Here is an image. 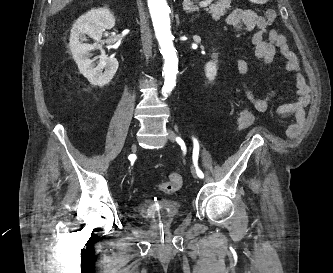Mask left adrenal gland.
I'll return each mask as SVG.
<instances>
[{"label": "left adrenal gland", "instance_id": "a2214340", "mask_svg": "<svg viewBox=\"0 0 333 273\" xmlns=\"http://www.w3.org/2000/svg\"><path fill=\"white\" fill-rule=\"evenodd\" d=\"M183 10L186 11L187 13L191 12H199V8L197 5H194V3L191 0H183Z\"/></svg>", "mask_w": 333, "mask_h": 273}]
</instances>
